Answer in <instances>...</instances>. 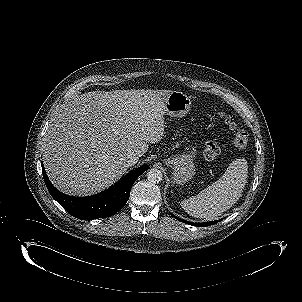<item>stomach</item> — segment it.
Masks as SVG:
<instances>
[{
    "mask_svg": "<svg viewBox=\"0 0 302 302\" xmlns=\"http://www.w3.org/2000/svg\"><path fill=\"white\" fill-rule=\"evenodd\" d=\"M191 104L190 96L180 91H172L166 99L164 111L172 117H183L190 111ZM196 155V150L190 149L181 155L165 159V163L173 169V183L183 185L194 177Z\"/></svg>",
    "mask_w": 302,
    "mask_h": 302,
    "instance_id": "obj_1",
    "label": "stomach"
}]
</instances>
